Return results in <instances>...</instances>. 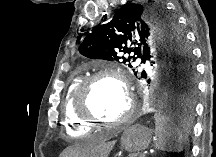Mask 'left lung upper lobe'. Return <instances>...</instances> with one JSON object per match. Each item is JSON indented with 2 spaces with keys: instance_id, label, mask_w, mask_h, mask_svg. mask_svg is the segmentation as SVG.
<instances>
[{
  "instance_id": "obj_1",
  "label": "left lung upper lobe",
  "mask_w": 216,
  "mask_h": 157,
  "mask_svg": "<svg viewBox=\"0 0 216 157\" xmlns=\"http://www.w3.org/2000/svg\"><path fill=\"white\" fill-rule=\"evenodd\" d=\"M79 52L92 59L128 62L129 67L137 58L148 60L155 64L163 90L168 83L177 91L196 84L186 39L176 19L158 4H125L108 23L80 39Z\"/></svg>"
}]
</instances>
